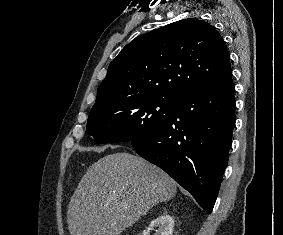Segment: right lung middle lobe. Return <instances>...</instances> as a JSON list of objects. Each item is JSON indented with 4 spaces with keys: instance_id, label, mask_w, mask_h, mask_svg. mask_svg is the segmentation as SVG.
Masks as SVG:
<instances>
[{
    "instance_id": "right-lung-middle-lobe-1",
    "label": "right lung middle lobe",
    "mask_w": 283,
    "mask_h": 235,
    "mask_svg": "<svg viewBox=\"0 0 283 235\" xmlns=\"http://www.w3.org/2000/svg\"><path fill=\"white\" fill-rule=\"evenodd\" d=\"M174 101L169 97H134L93 106L87 132L101 144L146 137L169 119Z\"/></svg>"
}]
</instances>
